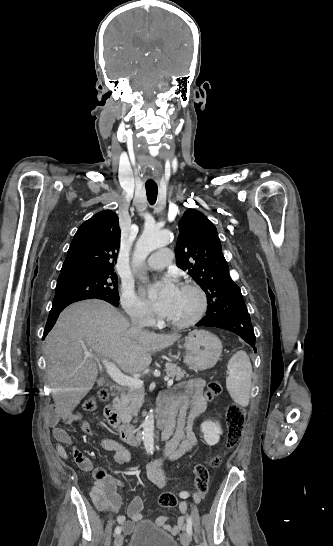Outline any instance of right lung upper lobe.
<instances>
[{
    "label": "right lung upper lobe",
    "instance_id": "cb5924a9",
    "mask_svg": "<svg viewBox=\"0 0 333 546\" xmlns=\"http://www.w3.org/2000/svg\"><path fill=\"white\" fill-rule=\"evenodd\" d=\"M120 246L118 216L104 210L85 221L76 232L61 274L114 271Z\"/></svg>",
    "mask_w": 333,
    "mask_h": 546
}]
</instances>
